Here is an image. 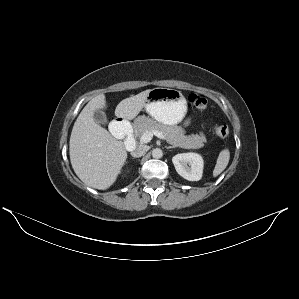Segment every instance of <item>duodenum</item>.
<instances>
[{
  "instance_id": "obj_1",
  "label": "duodenum",
  "mask_w": 299,
  "mask_h": 299,
  "mask_svg": "<svg viewBox=\"0 0 299 299\" xmlns=\"http://www.w3.org/2000/svg\"><path fill=\"white\" fill-rule=\"evenodd\" d=\"M111 129L126 133L125 147L128 151H131L136 147L134 134L123 117H118L111 125Z\"/></svg>"
}]
</instances>
